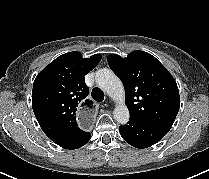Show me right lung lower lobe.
I'll return each instance as SVG.
<instances>
[{
    "instance_id": "98d812e1",
    "label": "right lung lower lobe",
    "mask_w": 209,
    "mask_h": 179,
    "mask_svg": "<svg viewBox=\"0 0 209 179\" xmlns=\"http://www.w3.org/2000/svg\"><path fill=\"white\" fill-rule=\"evenodd\" d=\"M91 138V134L89 132L80 131L78 134L68 139L67 141L59 144V146L65 149H77L83 145H85Z\"/></svg>"
}]
</instances>
